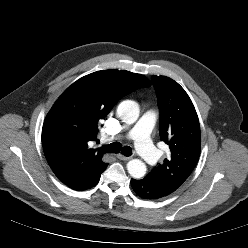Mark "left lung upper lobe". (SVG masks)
Listing matches in <instances>:
<instances>
[{"instance_id": "obj_1", "label": "left lung upper lobe", "mask_w": 248, "mask_h": 248, "mask_svg": "<svg viewBox=\"0 0 248 248\" xmlns=\"http://www.w3.org/2000/svg\"><path fill=\"white\" fill-rule=\"evenodd\" d=\"M156 90L161 140L169 145L171 157L165 159L144 178L164 195L176 191L191 175L200 155V124L185 90L166 76H152Z\"/></svg>"}]
</instances>
